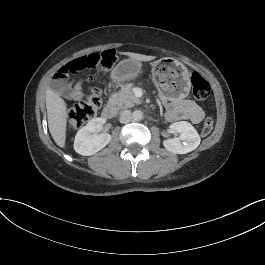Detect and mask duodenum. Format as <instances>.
Returning <instances> with one entry per match:
<instances>
[{
    "label": "duodenum",
    "mask_w": 265,
    "mask_h": 265,
    "mask_svg": "<svg viewBox=\"0 0 265 265\" xmlns=\"http://www.w3.org/2000/svg\"><path fill=\"white\" fill-rule=\"evenodd\" d=\"M117 113L116 105L113 102H108L102 110V116L105 119L113 118Z\"/></svg>",
    "instance_id": "1"
}]
</instances>
